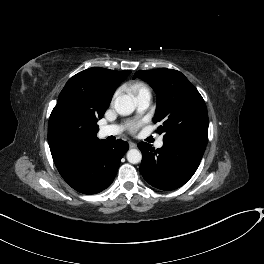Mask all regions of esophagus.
<instances>
[{
	"label": "esophagus",
	"mask_w": 264,
	"mask_h": 264,
	"mask_svg": "<svg viewBox=\"0 0 264 264\" xmlns=\"http://www.w3.org/2000/svg\"><path fill=\"white\" fill-rule=\"evenodd\" d=\"M129 146H130V148H136L137 147L136 143H134V142H130Z\"/></svg>",
	"instance_id": "34e87169"
}]
</instances>
